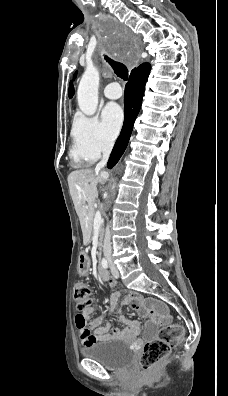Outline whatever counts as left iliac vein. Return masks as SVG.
Returning <instances> with one entry per match:
<instances>
[{
	"mask_svg": "<svg viewBox=\"0 0 228 396\" xmlns=\"http://www.w3.org/2000/svg\"><path fill=\"white\" fill-rule=\"evenodd\" d=\"M109 266H110L111 273H112L113 277L114 278H118L119 277V271H118L117 267L114 265V263L111 260H109Z\"/></svg>",
	"mask_w": 228,
	"mask_h": 396,
	"instance_id": "left-iliac-vein-1",
	"label": "left iliac vein"
}]
</instances>
